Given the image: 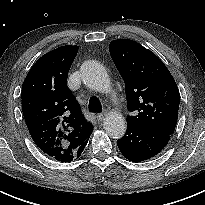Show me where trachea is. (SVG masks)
Returning <instances> with one entry per match:
<instances>
[{"instance_id": "3493384b", "label": "trachea", "mask_w": 205, "mask_h": 205, "mask_svg": "<svg viewBox=\"0 0 205 205\" xmlns=\"http://www.w3.org/2000/svg\"><path fill=\"white\" fill-rule=\"evenodd\" d=\"M89 111L90 112H101L102 111V106L101 102L97 97H91L89 100Z\"/></svg>"}]
</instances>
